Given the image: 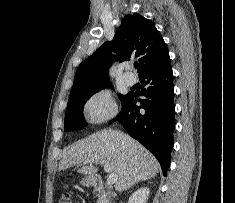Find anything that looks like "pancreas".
I'll use <instances>...</instances> for the list:
<instances>
[{
	"label": "pancreas",
	"instance_id": "pancreas-1",
	"mask_svg": "<svg viewBox=\"0 0 235 203\" xmlns=\"http://www.w3.org/2000/svg\"><path fill=\"white\" fill-rule=\"evenodd\" d=\"M97 203H111L110 197L107 195L105 191L98 192V200Z\"/></svg>",
	"mask_w": 235,
	"mask_h": 203
}]
</instances>
